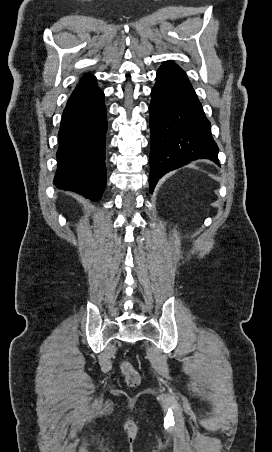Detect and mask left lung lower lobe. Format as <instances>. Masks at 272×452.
Here are the masks:
<instances>
[{
  "mask_svg": "<svg viewBox=\"0 0 272 452\" xmlns=\"http://www.w3.org/2000/svg\"><path fill=\"white\" fill-rule=\"evenodd\" d=\"M150 193L167 172L196 159L218 163L211 124L186 73L172 61L158 70L151 91Z\"/></svg>",
  "mask_w": 272,
  "mask_h": 452,
  "instance_id": "0a47b994",
  "label": "left lung lower lobe"
}]
</instances>
